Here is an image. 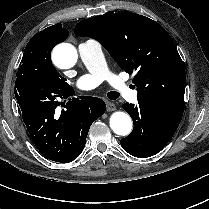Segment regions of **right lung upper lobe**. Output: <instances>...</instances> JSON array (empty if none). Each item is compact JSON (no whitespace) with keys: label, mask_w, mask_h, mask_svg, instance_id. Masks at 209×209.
Masks as SVG:
<instances>
[{"label":"right lung upper lobe","mask_w":209,"mask_h":209,"mask_svg":"<svg viewBox=\"0 0 209 209\" xmlns=\"http://www.w3.org/2000/svg\"><path fill=\"white\" fill-rule=\"evenodd\" d=\"M41 32L50 33V37L55 42V46L58 43L65 41L69 35L68 30H66L65 28H62V25L60 23L50 26ZM41 32H39V33H41Z\"/></svg>","instance_id":"right-lung-upper-lobe-1"}]
</instances>
